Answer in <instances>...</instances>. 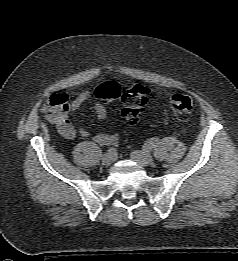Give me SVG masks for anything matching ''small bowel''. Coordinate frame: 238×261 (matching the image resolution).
<instances>
[{
	"mask_svg": "<svg viewBox=\"0 0 238 261\" xmlns=\"http://www.w3.org/2000/svg\"><path fill=\"white\" fill-rule=\"evenodd\" d=\"M92 93L90 91H84L76 95L72 101L69 103L68 111L63 116H61L56 122L59 133L67 138L73 139L77 136L81 138L91 137V133L85 127L75 128L68 118V112L78 110L85 102L90 100ZM97 118L100 121H105L107 117L106 108L102 103H96L94 106ZM94 141L101 145L115 146L119 142V135L114 132H102L96 134L93 137Z\"/></svg>",
	"mask_w": 238,
	"mask_h": 261,
	"instance_id": "small-bowel-1",
	"label": "small bowel"
}]
</instances>
